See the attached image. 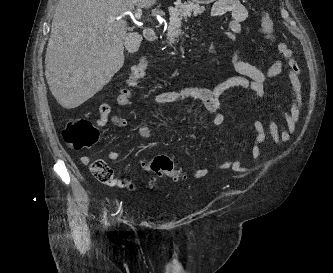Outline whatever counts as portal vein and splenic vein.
<instances>
[{
    "label": "portal vein and splenic vein",
    "instance_id": "18ae733b",
    "mask_svg": "<svg viewBox=\"0 0 333 273\" xmlns=\"http://www.w3.org/2000/svg\"><path fill=\"white\" fill-rule=\"evenodd\" d=\"M134 15H135L136 19H140L141 15H142V9L141 8H137ZM117 19H120V18H117Z\"/></svg>",
    "mask_w": 333,
    "mask_h": 273
}]
</instances>
